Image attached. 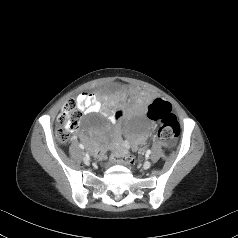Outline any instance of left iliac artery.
Here are the masks:
<instances>
[{"label":"left iliac artery","instance_id":"obj_1","mask_svg":"<svg viewBox=\"0 0 238 238\" xmlns=\"http://www.w3.org/2000/svg\"><path fill=\"white\" fill-rule=\"evenodd\" d=\"M150 154H151V150L148 149V150L146 151V156H149Z\"/></svg>","mask_w":238,"mask_h":238}]
</instances>
